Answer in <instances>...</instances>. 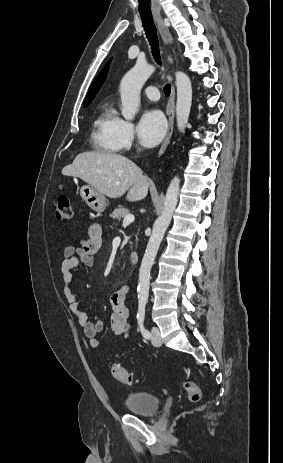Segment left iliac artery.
<instances>
[{
	"mask_svg": "<svg viewBox=\"0 0 283 463\" xmlns=\"http://www.w3.org/2000/svg\"><path fill=\"white\" fill-rule=\"evenodd\" d=\"M147 300L141 299L139 301L138 313H137V321L140 328V331L144 338L150 339L151 334L150 332L144 327V318H145V306Z\"/></svg>",
	"mask_w": 283,
	"mask_h": 463,
	"instance_id": "44dca946",
	"label": "left iliac artery"
}]
</instances>
